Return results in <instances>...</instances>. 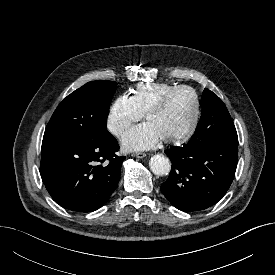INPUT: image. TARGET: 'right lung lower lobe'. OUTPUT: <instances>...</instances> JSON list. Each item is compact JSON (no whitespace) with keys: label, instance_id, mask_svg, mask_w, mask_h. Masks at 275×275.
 <instances>
[{"label":"right lung lower lobe","instance_id":"1","mask_svg":"<svg viewBox=\"0 0 275 275\" xmlns=\"http://www.w3.org/2000/svg\"><path fill=\"white\" fill-rule=\"evenodd\" d=\"M110 133L87 140L42 142L40 174L56 203L76 212L101 208L120 180L124 156Z\"/></svg>","mask_w":275,"mask_h":275}]
</instances>
